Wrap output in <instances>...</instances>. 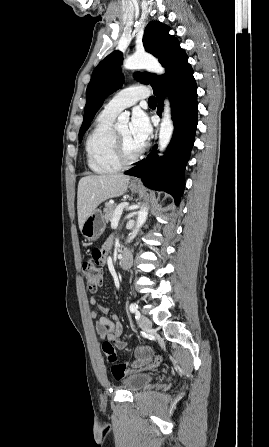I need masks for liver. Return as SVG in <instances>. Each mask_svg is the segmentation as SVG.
<instances>
[{
    "label": "liver",
    "mask_w": 269,
    "mask_h": 447,
    "mask_svg": "<svg viewBox=\"0 0 269 447\" xmlns=\"http://www.w3.org/2000/svg\"><path fill=\"white\" fill-rule=\"evenodd\" d=\"M129 176L123 174H102V176H85L78 184L77 212L80 229L93 210L109 200L125 194Z\"/></svg>",
    "instance_id": "obj_1"
}]
</instances>
